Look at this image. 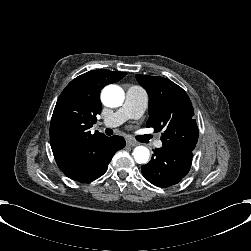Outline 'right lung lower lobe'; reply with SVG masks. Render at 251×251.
Wrapping results in <instances>:
<instances>
[{
	"label": "right lung lower lobe",
	"instance_id": "1",
	"mask_svg": "<svg viewBox=\"0 0 251 251\" xmlns=\"http://www.w3.org/2000/svg\"><path fill=\"white\" fill-rule=\"evenodd\" d=\"M124 146L123 137H106L95 145L88 158L63 173L80 183L91 182L106 172L113 155Z\"/></svg>",
	"mask_w": 251,
	"mask_h": 251
}]
</instances>
